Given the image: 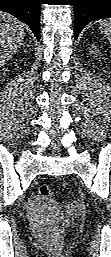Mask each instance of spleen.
Returning <instances> with one entry per match:
<instances>
[{
  "instance_id": "1",
  "label": "spleen",
  "mask_w": 111,
  "mask_h": 257,
  "mask_svg": "<svg viewBox=\"0 0 111 257\" xmlns=\"http://www.w3.org/2000/svg\"><path fill=\"white\" fill-rule=\"evenodd\" d=\"M100 30L107 37L108 41L111 43V18L100 21Z\"/></svg>"
}]
</instances>
